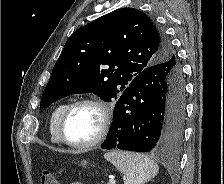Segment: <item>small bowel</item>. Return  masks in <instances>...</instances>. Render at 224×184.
<instances>
[{
  "mask_svg": "<svg viewBox=\"0 0 224 184\" xmlns=\"http://www.w3.org/2000/svg\"><path fill=\"white\" fill-rule=\"evenodd\" d=\"M72 184H83V183H81V182H74V183H72Z\"/></svg>",
  "mask_w": 224,
  "mask_h": 184,
  "instance_id": "obj_1",
  "label": "small bowel"
}]
</instances>
